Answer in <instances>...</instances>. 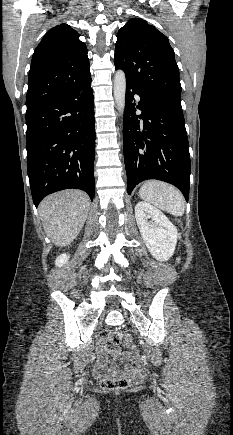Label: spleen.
I'll return each instance as SVG.
<instances>
[{"label":"spleen","instance_id":"3e777b00","mask_svg":"<svg viewBox=\"0 0 233 435\" xmlns=\"http://www.w3.org/2000/svg\"><path fill=\"white\" fill-rule=\"evenodd\" d=\"M140 197L174 216H182L185 211V200L181 192L174 186L158 181L145 182L139 189Z\"/></svg>","mask_w":233,"mask_h":435}]
</instances>
